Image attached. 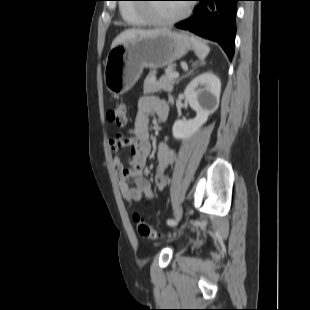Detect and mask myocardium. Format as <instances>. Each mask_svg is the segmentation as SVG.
I'll return each instance as SVG.
<instances>
[{"label":"myocardium","instance_id":"f54148a6","mask_svg":"<svg viewBox=\"0 0 310 310\" xmlns=\"http://www.w3.org/2000/svg\"><path fill=\"white\" fill-rule=\"evenodd\" d=\"M140 11L143 14H146V16L152 15L153 12L151 9H149L147 11V9H143L141 8ZM191 11V5H187L185 8L182 9V11L177 14L176 16L170 17V18H162V17H148L150 22L154 25H172L175 24L177 22H179L180 20L184 19L185 17H187L189 15Z\"/></svg>","mask_w":310,"mask_h":310}]
</instances>
